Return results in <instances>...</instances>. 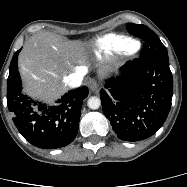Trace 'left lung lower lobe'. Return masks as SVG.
Here are the masks:
<instances>
[{
    "instance_id": "obj_1",
    "label": "left lung lower lobe",
    "mask_w": 187,
    "mask_h": 187,
    "mask_svg": "<svg viewBox=\"0 0 187 187\" xmlns=\"http://www.w3.org/2000/svg\"><path fill=\"white\" fill-rule=\"evenodd\" d=\"M173 78L169 61L139 57L100 90L102 109L117 137L139 141L152 136L171 107Z\"/></svg>"
}]
</instances>
